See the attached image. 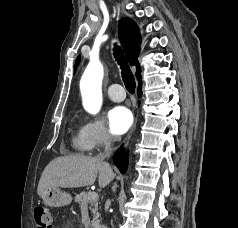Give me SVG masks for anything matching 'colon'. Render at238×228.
<instances>
[{
    "label": "colon",
    "mask_w": 238,
    "mask_h": 228,
    "mask_svg": "<svg viewBox=\"0 0 238 228\" xmlns=\"http://www.w3.org/2000/svg\"><path fill=\"white\" fill-rule=\"evenodd\" d=\"M36 228H53V214L46 206H38L34 211Z\"/></svg>",
    "instance_id": "5ec220e1"
}]
</instances>
